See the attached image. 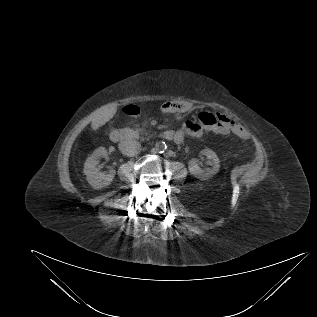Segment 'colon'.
<instances>
[{
  "label": "colon",
  "instance_id": "1",
  "mask_svg": "<svg viewBox=\"0 0 317 317\" xmlns=\"http://www.w3.org/2000/svg\"><path fill=\"white\" fill-rule=\"evenodd\" d=\"M127 112L130 114H138L139 109L136 106H130L127 109ZM219 115L212 112H201L199 114V120L202 124L206 126H214L219 122Z\"/></svg>",
  "mask_w": 317,
  "mask_h": 317
}]
</instances>
